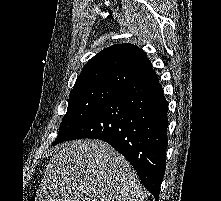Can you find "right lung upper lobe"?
Masks as SVG:
<instances>
[{
    "label": "right lung upper lobe",
    "mask_w": 221,
    "mask_h": 201,
    "mask_svg": "<svg viewBox=\"0 0 221 201\" xmlns=\"http://www.w3.org/2000/svg\"><path fill=\"white\" fill-rule=\"evenodd\" d=\"M151 70L152 65L140 48L126 43L116 44L87 62L73 90L96 86L121 89Z\"/></svg>",
    "instance_id": "1"
}]
</instances>
